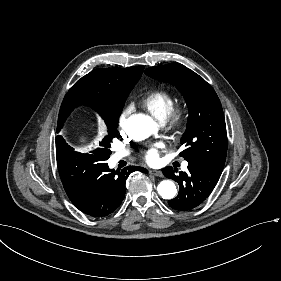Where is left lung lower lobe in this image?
Instances as JSON below:
<instances>
[{
	"label": "left lung lower lobe",
	"mask_w": 281,
	"mask_h": 281,
	"mask_svg": "<svg viewBox=\"0 0 281 281\" xmlns=\"http://www.w3.org/2000/svg\"><path fill=\"white\" fill-rule=\"evenodd\" d=\"M162 172L179 184L178 196L168 201L169 206L183 211L200 205L210 195L221 175L196 162H188L187 173L179 172V175H175L170 166Z\"/></svg>",
	"instance_id": "1"
}]
</instances>
